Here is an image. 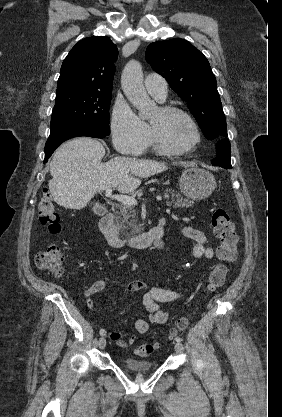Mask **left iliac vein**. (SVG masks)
Here are the masks:
<instances>
[{
  "instance_id": "left-iliac-vein-1",
  "label": "left iliac vein",
  "mask_w": 282,
  "mask_h": 417,
  "mask_svg": "<svg viewBox=\"0 0 282 417\" xmlns=\"http://www.w3.org/2000/svg\"><path fill=\"white\" fill-rule=\"evenodd\" d=\"M174 348L175 351L179 354L182 353L184 350L183 344L181 342H176Z\"/></svg>"
}]
</instances>
